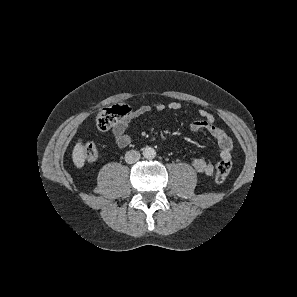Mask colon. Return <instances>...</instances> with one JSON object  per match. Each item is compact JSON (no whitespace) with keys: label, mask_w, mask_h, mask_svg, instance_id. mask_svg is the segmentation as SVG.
<instances>
[{"label":"colon","mask_w":297,"mask_h":297,"mask_svg":"<svg viewBox=\"0 0 297 297\" xmlns=\"http://www.w3.org/2000/svg\"><path fill=\"white\" fill-rule=\"evenodd\" d=\"M131 112L128 105L119 104L101 110L96 118L97 127L102 131H107L113 125L126 117ZM83 154L86 160L94 161L98 158L99 149L94 142H86L83 145ZM232 163L230 160H220L216 166L215 182L222 183L231 171Z\"/></svg>","instance_id":"colon-1"}]
</instances>
